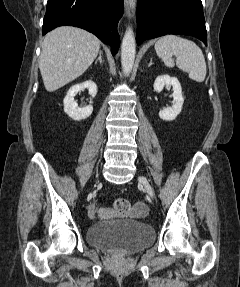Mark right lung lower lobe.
<instances>
[{
    "label": "right lung lower lobe",
    "mask_w": 240,
    "mask_h": 287,
    "mask_svg": "<svg viewBox=\"0 0 240 287\" xmlns=\"http://www.w3.org/2000/svg\"><path fill=\"white\" fill-rule=\"evenodd\" d=\"M123 11V0H48L43 35L58 26L80 27L110 45L115 55L120 44L117 24Z\"/></svg>",
    "instance_id": "right-lung-lower-lobe-1"
}]
</instances>
